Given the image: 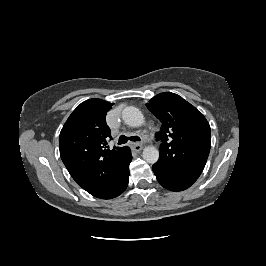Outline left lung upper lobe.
<instances>
[{"mask_svg":"<svg viewBox=\"0 0 266 266\" xmlns=\"http://www.w3.org/2000/svg\"><path fill=\"white\" fill-rule=\"evenodd\" d=\"M146 106L163 123L157 133L162 143L155 165L173 177L196 181L211 147L208 121L194 106L171 92L156 95Z\"/></svg>","mask_w":266,"mask_h":266,"instance_id":"5c2ea615","label":"left lung upper lobe"}]
</instances>
